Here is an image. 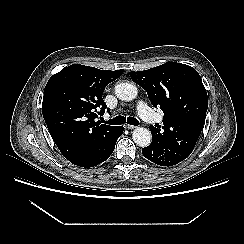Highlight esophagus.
I'll list each match as a JSON object with an SVG mask.
<instances>
[{
	"mask_svg": "<svg viewBox=\"0 0 244 244\" xmlns=\"http://www.w3.org/2000/svg\"><path fill=\"white\" fill-rule=\"evenodd\" d=\"M126 128H127V129H134V128H136V126L127 124V125H126Z\"/></svg>",
	"mask_w": 244,
	"mask_h": 244,
	"instance_id": "obj_1",
	"label": "esophagus"
}]
</instances>
